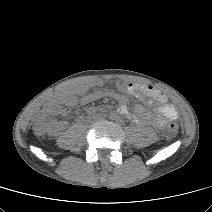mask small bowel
Returning a JSON list of instances; mask_svg holds the SVG:
<instances>
[{
    "label": "small bowel",
    "instance_id": "c3829d8e",
    "mask_svg": "<svg viewBox=\"0 0 212 212\" xmlns=\"http://www.w3.org/2000/svg\"><path fill=\"white\" fill-rule=\"evenodd\" d=\"M103 82L95 80L90 83H81L70 89L61 90L55 94L48 111L58 116H67L70 109L78 104L86 105L102 98H111L118 102V112L124 116H132L135 123L139 125L152 124L156 128H163L168 121H175L178 113L173 105L167 102L166 96L158 89L150 85L136 83L117 84V90L102 89ZM90 88L95 90L88 92ZM125 94L144 97L147 101H155L160 105L159 114L153 117L143 107L138 106L131 115ZM77 122L82 121V117L76 118ZM66 127V122L59 121L52 124V133L57 135Z\"/></svg>",
    "mask_w": 212,
    "mask_h": 212
}]
</instances>
